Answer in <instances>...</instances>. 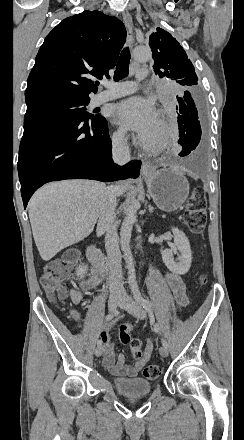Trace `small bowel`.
<instances>
[{
    "label": "small bowel",
    "mask_w": 244,
    "mask_h": 440,
    "mask_svg": "<svg viewBox=\"0 0 244 440\" xmlns=\"http://www.w3.org/2000/svg\"><path fill=\"white\" fill-rule=\"evenodd\" d=\"M102 270L96 268L92 269L90 273L84 277L79 287L72 290L71 299L76 305L83 301L84 292L98 287L104 279ZM166 282L172 292L173 299L177 307L182 308L189 305V298L186 293V286L178 274L167 273L165 276ZM80 320V315L74 317ZM104 340V356L103 366L113 376L117 378H135L138 376L141 369L148 362L152 356L155 341L153 338L148 339L142 357L131 365L126 364V358L123 354L115 357V346L110 340L111 329H107L101 333Z\"/></svg>",
    "instance_id": "obj_1"
}]
</instances>
